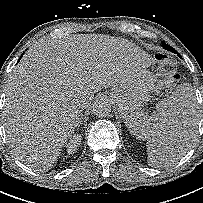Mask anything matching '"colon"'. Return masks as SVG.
Segmentation results:
<instances>
[{"label":"colon","mask_w":203,"mask_h":203,"mask_svg":"<svg viewBox=\"0 0 203 203\" xmlns=\"http://www.w3.org/2000/svg\"><path fill=\"white\" fill-rule=\"evenodd\" d=\"M158 62L157 71V92L161 95L168 94L180 79L176 70L175 61L168 56L156 54Z\"/></svg>","instance_id":"1"}]
</instances>
